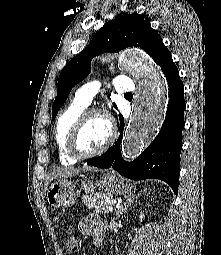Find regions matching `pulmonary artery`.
<instances>
[{
	"instance_id": "e3ab8cb5",
	"label": "pulmonary artery",
	"mask_w": 221,
	"mask_h": 255,
	"mask_svg": "<svg viewBox=\"0 0 221 255\" xmlns=\"http://www.w3.org/2000/svg\"><path fill=\"white\" fill-rule=\"evenodd\" d=\"M115 89L118 93L131 94L135 90L134 82L126 75L119 74L114 78ZM99 81H89L80 86L74 94L73 102L87 107L100 90Z\"/></svg>"
}]
</instances>
